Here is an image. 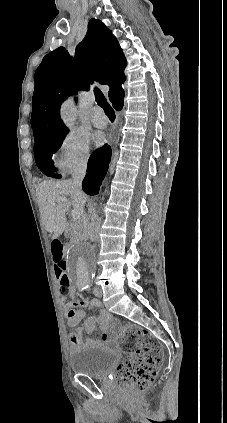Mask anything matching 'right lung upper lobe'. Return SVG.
I'll return each instance as SVG.
<instances>
[{
	"label": "right lung upper lobe",
	"mask_w": 227,
	"mask_h": 423,
	"mask_svg": "<svg viewBox=\"0 0 227 423\" xmlns=\"http://www.w3.org/2000/svg\"><path fill=\"white\" fill-rule=\"evenodd\" d=\"M126 59L117 39L98 19H91L88 31L71 57L64 47L47 54L35 72L31 127L34 139L66 134L60 119V105L78 90H89L93 78L110 86L109 100L123 101Z\"/></svg>",
	"instance_id": "right-lung-upper-lobe-1"
}]
</instances>
